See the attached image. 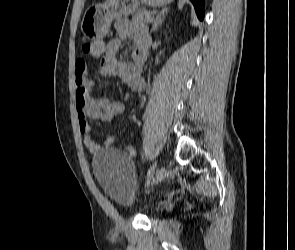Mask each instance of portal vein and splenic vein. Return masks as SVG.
<instances>
[{
    "label": "portal vein and splenic vein",
    "mask_w": 295,
    "mask_h": 250,
    "mask_svg": "<svg viewBox=\"0 0 295 250\" xmlns=\"http://www.w3.org/2000/svg\"><path fill=\"white\" fill-rule=\"evenodd\" d=\"M153 19H154V17H152V16H148V17L146 18V22H147V23H150V22L153 21Z\"/></svg>",
    "instance_id": "18ae733b"
}]
</instances>
